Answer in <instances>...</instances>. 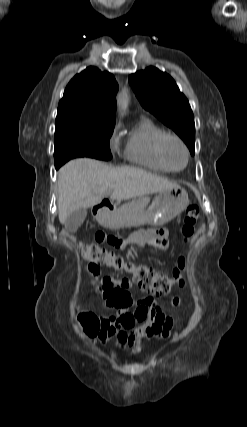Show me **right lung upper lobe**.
<instances>
[{
	"label": "right lung upper lobe",
	"instance_id": "cb5924a9",
	"mask_svg": "<svg viewBox=\"0 0 247 427\" xmlns=\"http://www.w3.org/2000/svg\"><path fill=\"white\" fill-rule=\"evenodd\" d=\"M117 90L118 84L111 73L88 67L67 85L58 114L72 113L95 122H115Z\"/></svg>",
	"mask_w": 247,
	"mask_h": 427
}]
</instances>
